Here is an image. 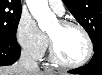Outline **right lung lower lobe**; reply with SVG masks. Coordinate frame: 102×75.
I'll return each mask as SVG.
<instances>
[{
	"instance_id": "1",
	"label": "right lung lower lobe",
	"mask_w": 102,
	"mask_h": 75,
	"mask_svg": "<svg viewBox=\"0 0 102 75\" xmlns=\"http://www.w3.org/2000/svg\"><path fill=\"white\" fill-rule=\"evenodd\" d=\"M20 51L17 42L0 40V66L13 64L19 58Z\"/></svg>"
}]
</instances>
